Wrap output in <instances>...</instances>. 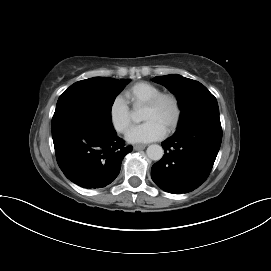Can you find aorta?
<instances>
[{"mask_svg": "<svg viewBox=\"0 0 271 271\" xmlns=\"http://www.w3.org/2000/svg\"><path fill=\"white\" fill-rule=\"evenodd\" d=\"M132 119L135 122H140L142 120V117L138 112H134L132 114ZM146 153L149 159L159 161L164 155V150L160 145L152 144L148 146Z\"/></svg>", "mask_w": 271, "mask_h": 271, "instance_id": "obj_1", "label": "aorta"}]
</instances>
